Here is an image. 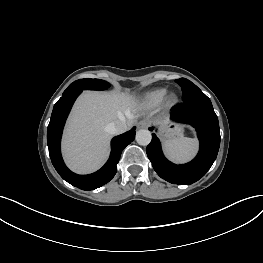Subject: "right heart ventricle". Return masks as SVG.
Segmentation results:
<instances>
[{"mask_svg": "<svg viewBox=\"0 0 263 263\" xmlns=\"http://www.w3.org/2000/svg\"><path fill=\"white\" fill-rule=\"evenodd\" d=\"M167 90L165 88H156L145 92L139 100L142 107L152 109L159 106L165 99Z\"/></svg>", "mask_w": 263, "mask_h": 263, "instance_id": "1", "label": "right heart ventricle"}]
</instances>
